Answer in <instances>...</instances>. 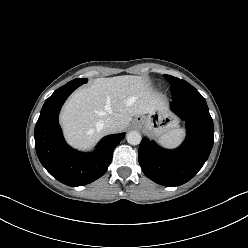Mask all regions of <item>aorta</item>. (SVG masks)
<instances>
[{
  "mask_svg": "<svg viewBox=\"0 0 248 248\" xmlns=\"http://www.w3.org/2000/svg\"><path fill=\"white\" fill-rule=\"evenodd\" d=\"M127 142L131 145L140 144L142 137L138 131H131L126 136Z\"/></svg>",
  "mask_w": 248,
  "mask_h": 248,
  "instance_id": "1",
  "label": "aorta"
}]
</instances>
